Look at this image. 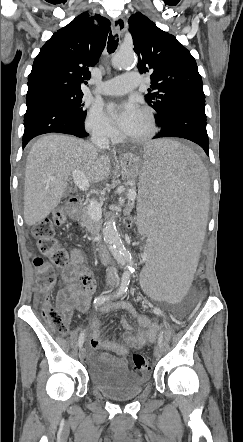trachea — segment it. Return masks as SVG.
Returning a JSON list of instances; mask_svg holds the SVG:
<instances>
[{"label":"trachea","instance_id":"trachea-1","mask_svg":"<svg viewBox=\"0 0 243 442\" xmlns=\"http://www.w3.org/2000/svg\"><path fill=\"white\" fill-rule=\"evenodd\" d=\"M117 35L113 36L112 33H110L109 38H108V46H107V51L109 54H112L118 46V38H116Z\"/></svg>","mask_w":243,"mask_h":442}]
</instances>
